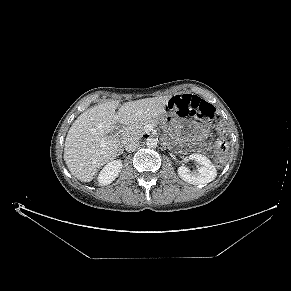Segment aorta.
Wrapping results in <instances>:
<instances>
[{
  "mask_svg": "<svg viewBox=\"0 0 291 291\" xmlns=\"http://www.w3.org/2000/svg\"><path fill=\"white\" fill-rule=\"evenodd\" d=\"M157 139H155V138H148L147 139V147L148 148H151V149H153V148H156L157 147Z\"/></svg>",
  "mask_w": 291,
  "mask_h": 291,
  "instance_id": "762f6f07",
  "label": "aorta"
}]
</instances>
